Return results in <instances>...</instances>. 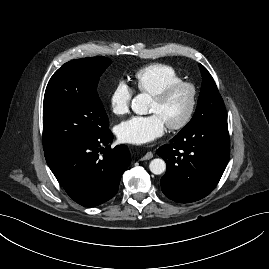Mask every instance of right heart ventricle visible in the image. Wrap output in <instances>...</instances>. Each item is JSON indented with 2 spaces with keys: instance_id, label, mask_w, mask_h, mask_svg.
Instances as JSON below:
<instances>
[{
  "instance_id": "right-heart-ventricle-1",
  "label": "right heart ventricle",
  "mask_w": 269,
  "mask_h": 269,
  "mask_svg": "<svg viewBox=\"0 0 269 269\" xmlns=\"http://www.w3.org/2000/svg\"><path fill=\"white\" fill-rule=\"evenodd\" d=\"M178 81H182V77L174 67L159 63L144 66L133 76L135 89L151 96L166 85Z\"/></svg>"
}]
</instances>
